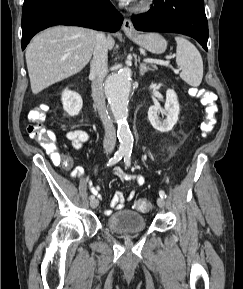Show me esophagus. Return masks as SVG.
Here are the masks:
<instances>
[{"label": "esophagus", "mask_w": 243, "mask_h": 289, "mask_svg": "<svg viewBox=\"0 0 243 289\" xmlns=\"http://www.w3.org/2000/svg\"><path fill=\"white\" fill-rule=\"evenodd\" d=\"M122 29H123V31L126 34L135 33V29H134L133 23L128 18H124V21H123V24H122Z\"/></svg>", "instance_id": "esophagus-1"}]
</instances>
